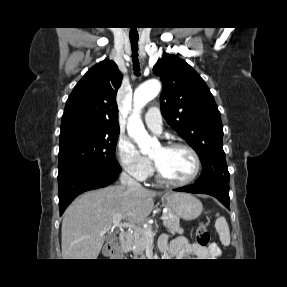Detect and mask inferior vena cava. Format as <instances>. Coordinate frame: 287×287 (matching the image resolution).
I'll list each match as a JSON object with an SVG mask.
<instances>
[{
    "label": "inferior vena cava",
    "instance_id": "obj_1",
    "mask_svg": "<svg viewBox=\"0 0 287 287\" xmlns=\"http://www.w3.org/2000/svg\"><path fill=\"white\" fill-rule=\"evenodd\" d=\"M120 182L123 186H127V188L129 189H141L143 188L141 186V184L134 180L133 178H131L128 174L126 173H121L120 175Z\"/></svg>",
    "mask_w": 287,
    "mask_h": 287
}]
</instances>
